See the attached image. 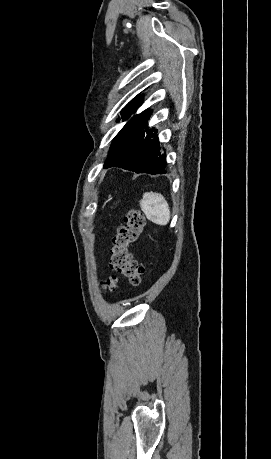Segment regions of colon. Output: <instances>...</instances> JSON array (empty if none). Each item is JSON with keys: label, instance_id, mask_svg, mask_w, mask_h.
<instances>
[{"label": "colon", "instance_id": "1", "mask_svg": "<svg viewBox=\"0 0 271 459\" xmlns=\"http://www.w3.org/2000/svg\"><path fill=\"white\" fill-rule=\"evenodd\" d=\"M145 224L142 212L132 209L125 215L123 224L113 238L110 267L135 286L140 284L144 268L134 258L131 247L143 234ZM102 286L107 291H114L117 286V278L109 276L102 282Z\"/></svg>", "mask_w": 271, "mask_h": 459}]
</instances>
